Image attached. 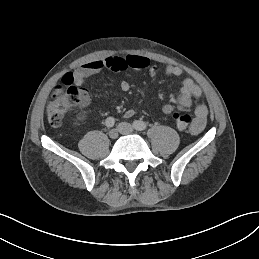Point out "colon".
Segmentation results:
<instances>
[{"instance_id": "5ec220e1", "label": "colon", "mask_w": 259, "mask_h": 259, "mask_svg": "<svg viewBox=\"0 0 259 259\" xmlns=\"http://www.w3.org/2000/svg\"><path fill=\"white\" fill-rule=\"evenodd\" d=\"M89 102V93L86 89L78 87L73 77L68 73L62 84L57 85L47 108L48 123L52 127L62 124L65 115L76 106H84ZM173 120L179 130H186L191 126V117L182 112H174Z\"/></svg>"}]
</instances>
